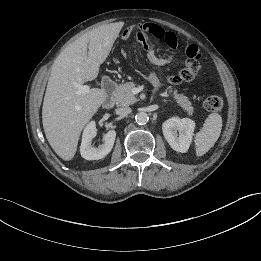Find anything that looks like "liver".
Instances as JSON below:
<instances>
[{
	"label": "liver",
	"mask_w": 261,
	"mask_h": 261,
	"mask_svg": "<svg viewBox=\"0 0 261 261\" xmlns=\"http://www.w3.org/2000/svg\"><path fill=\"white\" fill-rule=\"evenodd\" d=\"M121 30L118 23L101 26L67 46L55 59L42 107L46 138L65 161L76 151L80 134L106 99L104 90L79 94L75 84L94 80Z\"/></svg>",
	"instance_id": "6515ba94"
}]
</instances>
